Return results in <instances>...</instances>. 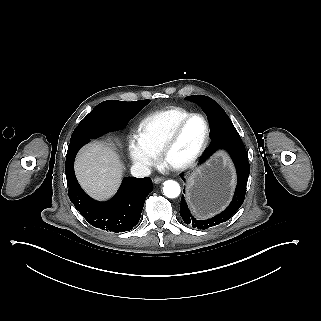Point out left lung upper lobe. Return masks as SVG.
I'll list each match as a JSON object with an SVG mask.
<instances>
[{
    "label": "left lung upper lobe",
    "instance_id": "5c2ea615",
    "mask_svg": "<svg viewBox=\"0 0 321 321\" xmlns=\"http://www.w3.org/2000/svg\"><path fill=\"white\" fill-rule=\"evenodd\" d=\"M186 99L197 103L206 114L208 112L218 111L223 116L224 120L221 122V124L215 126L216 130L235 128L222 107L210 97L204 95H192L186 97Z\"/></svg>",
    "mask_w": 321,
    "mask_h": 321
}]
</instances>
